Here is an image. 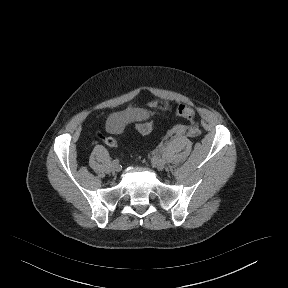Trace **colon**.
<instances>
[{
  "instance_id": "obj_1",
  "label": "colon",
  "mask_w": 288,
  "mask_h": 288,
  "mask_svg": "<svg viewBox=\"0 0 288 288\" xmlns=\"http://www.w3.org/2000/svg\"><path fill=\"white\" fill-rule=\"evenodd\" d=\"M176 115L191 122L195 120L194 109L187 105L178 106V108L176 109ZM151 129H152L151 123H140L137 126L138 132L142 134L149 133ZM97 137L102 144H105L108 147L115 148L118 145V142L114 137L105 136L100 133H97Z\"/></svg>"
}]
</instances>
